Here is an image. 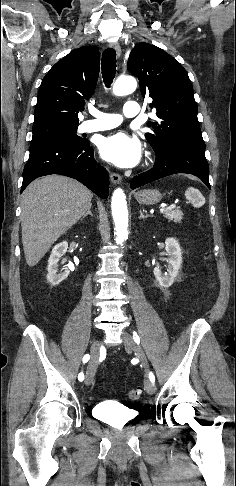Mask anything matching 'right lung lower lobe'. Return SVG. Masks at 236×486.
Instances as JSON below:
<instances>
[{"label":"right lung lower lobe","instance_id":"1","mask_svg":"<svg viewBox=\"0 0 236 486\" xmlns=\"http://www.w3.org/2000/svg\"><path fill=\"white\" fill-rule=\"evenodd\" d=\"M89 141L68 143L55 139L32 140L29 159L23 170L21 192L34 179L60 174L72 177L101 198H107L109 176L107 170L94 160Z\"/></svg>","mask_w":236,"mask_h":486}]
</instances>
